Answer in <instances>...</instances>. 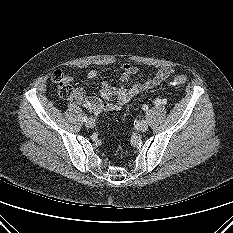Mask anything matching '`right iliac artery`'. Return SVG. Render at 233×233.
Masks as SVG:
<instances>
[{"instance_id": "right-iliac-artery-1", "label": "right iliac artery", "mask_w": 233, "mask_h": 233, "mask_svg": "<svg viewBox=\"0 0 233 233\" xmlns=\"http://www.w3.org/2000/svg\"><path fill=\"white\" fill-rule=\"evenodd\" d=\"M87 119H88L87 116L82 117V121H86Z\"/></svg>"}]
</instances>
